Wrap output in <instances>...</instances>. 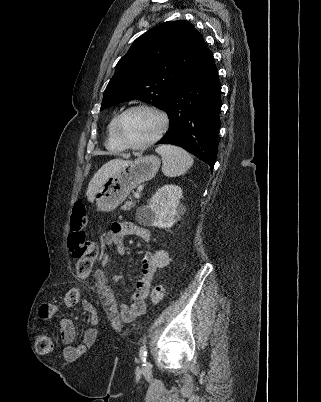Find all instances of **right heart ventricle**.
Wrapping results in <instances>:
<instances>
[{
    "mask_svg": "<svg viewBox=\"0 0 321 402\" xmlns=\"http://www.w3.org/2000/svg\"><path fill=\"white\" fill-rule=\"evenodd\" d=\"M117 115L113 116L106 128V140H105V147L115 153L119 154L124 151V148L121 146V144L118 142L115 132H114V124L116 120Z\"/></svg>",
    "mask_w": 321,
    "mask_h": 402,
    "instance_id": "right-heart-ventricle-1",
    "label": "right heart ventricle"
}]
</instances>
